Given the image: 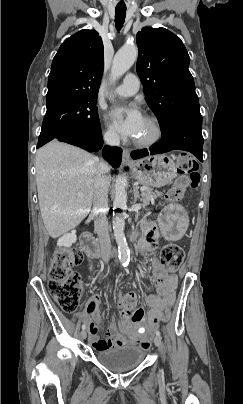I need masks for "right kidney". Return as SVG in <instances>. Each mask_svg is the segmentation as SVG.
<instances>
[{"label":"right kidney","mask_w":243,"mask_h":404,"mask_svg":"<svg viewBox=\"0 0 243 404\" xmlns=\"http://www.w3.org/2000/svg\"><path fill=\"white\" fill-rule=\"evenodd\" d=\"M77 240L76 236V230H72L70 234H64V236H61L57 242V246H64V248H70L72 244H75Z\"/></svg>","instance_id":"1"}]
</instances>
